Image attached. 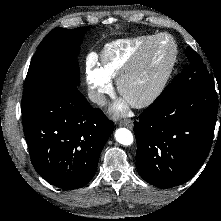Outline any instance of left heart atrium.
Here are the masks:
<instances>
[{
	"label": "left heart atrium",
	"instance_id": "obj_1",
	"mask_svg": "<svg viewBox=\"0 0 221 221\" xmlns=\"http://www.w3.org/2000/svg\"><path fill=\"white\" fill-rule=\"evenodd\" d=\"M116 110L118 111V112H121L122 110H123V105L121 106H118V107H116Z\"/></svg>",
	"mask_w": 221,
	"mask_h": 221
}]
</instances>
